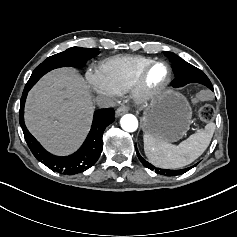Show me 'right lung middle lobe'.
<instances>
[{
	"label": "right lung middle lobe",
	"instance_id": "right-lung-middle-lobe-1",
	"mask_svg": "<svg viewBox=\"0 0 237 237\" xmlns=\"http://www.w3.org/2000/svg\"><path fill=\"white\" fill-rule=\"evenodd\" d=\"M97 48L72 47L48 57L33 71L28 83L34 85L44 74L59 67H82L87 60L98 54Z\"/></svg>",
	"mask_w": 237,
	"mask_h": 237
}]
</instances>
